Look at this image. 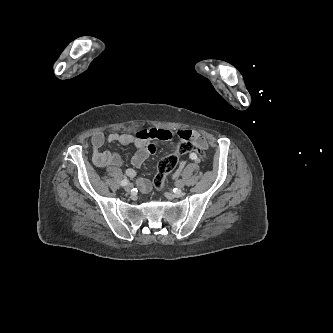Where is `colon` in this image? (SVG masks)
<instances>
[{
  "label": "colon",
  "mask_w": 333,
  "mask_h": 333,
  "mask_svg": "<svg viewBox=\"0 0 333 333\" xmlns=\"http://www.w3.org/2000/svg\"><path fill=\"white\" fill-rule=\"evenodd\" d=\"M193 151H197L201 158L204 156V152L201 148L190 141V139L185 138L178 143L174 153L168 154L160 160L158 171L154 178V186L157 190H162L165 187L166 177L176 167L178 157L192 153Z\"/></svg>",
  "instance_id": "5ec220e1"
}]
</instances>
